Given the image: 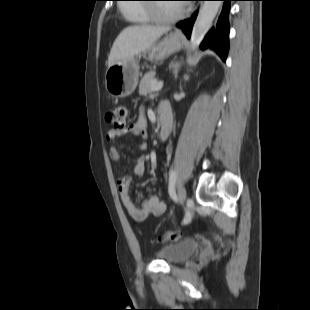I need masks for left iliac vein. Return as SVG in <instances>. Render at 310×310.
Listing matches in <instances>:
<instances>
[{
	"label": "left iliac vein",
	"instance_id": "4c4485c4",
	"mask_svg": "<svg viewBox=\"0 0 310 310\" xmlns=\"http://www.w3.org/2000/svg\"><path fill=\"white\" fill-rule=\"evenodd\" d=\"M177 195L180 202L183 203L186 200V190L183 186L178 187Z\"/></svg>",
	"mask_w": 310,
	"mask_h": 310
}]
</instances>
